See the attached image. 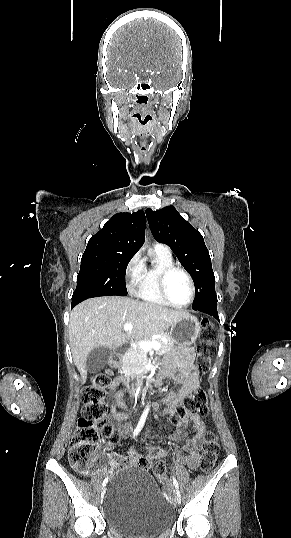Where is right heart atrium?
Returning <instances> with one entry per match:
<instances>
[{"mask_svg": "<svg viewBox=\"0 0 291 538\" xmlns=\"http://www.w3.org/2000/svg\"><path fill=\"white\" fill-rule=\"evenodd\" d=\"M143 260L140 253H135L127 262L125 266V278L127 282V288L131 293H135L143 271Z\"/></svg>", "mask_w": 291, "mask_h": 538, "instance_id": "right-heart-atrium-1", "label": "right heart atrium"}]
</instances>
